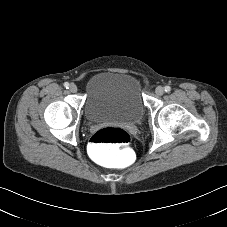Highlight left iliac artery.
I'll return each mask as SVG.
<instances>
[{"instance_id": "obj_1", "label": "left iliac artery", "mask_w": 227, "mask_h": 227, "mask_svg": "<svg viewBox=\"0 0 227 227\" xmlns=\"http://www.w3.org/2000/svg\"><path fill=\"white\" fill-rule=\"evenodd\" d=\"M164 90H165V92L169 93L171 91V87L170 86H165Z\"/></svg>"}]
</instances>
